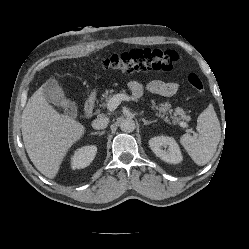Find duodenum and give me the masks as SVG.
<instances>
[{
	"mask_svg": "<svg viewBox=\"0 0 249 249\" xmlns=\"http://www.w3.org/2000/svg\"><path fill=\"white\" fill-rule=\"evenodd\" d=\"M95 105H96V94L91 93L86 99L84 104V115L87 118L92 117V115L94 114Z\"/></svg>",
	"mask_w": 249,
	"mask_h": 249,
	"instance_id": "1",
	"label": "duodenum"
}]
</instances>
